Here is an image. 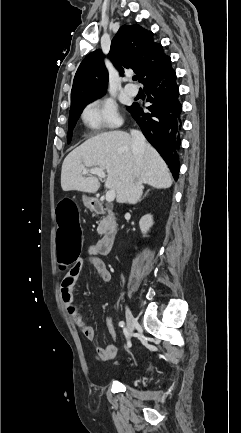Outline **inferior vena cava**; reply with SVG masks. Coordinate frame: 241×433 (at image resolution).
<instances>
[{
	"mask_svg": "<svg viewBox=\"0 0 241 433\" xmlns=\"http://www.w3.org/2000/svg\"><path fill=\"white\" fill-rule=\"evenodd\" d=\"M131 147L134 155V178H138L140 175V171L143 163V154L146 146L145 138L140 131L131 130Z\"/></svg>",
	"mask_w": 241,
	"mask_h": 433,
	"instance_id": "inferior-vena-cava-1",
	"label": "inferior vena cava"
}]
</instances>
